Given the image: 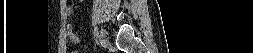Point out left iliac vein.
<instances>
[{
  "mask_svg": "<svg viewBox=\"0 0 253 53\" xmlns=\"http://www.w3.org/2000/svg\"><path fill=\"white\" fill-rule=\"evenodd\" d=\"M99 39L100 42L103 43L104 45L107 44L108 39H107V32L105 31V29H101Z\"/></svg>",
  "mask_w": 253,
  "mask_h": 53,
  "instance_id": "1",
  "label": "left iliac vein"
}]
</instances>
